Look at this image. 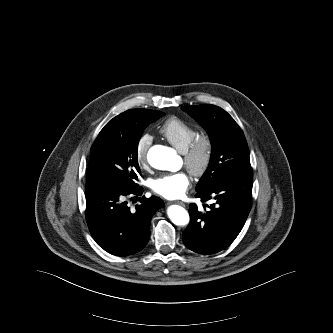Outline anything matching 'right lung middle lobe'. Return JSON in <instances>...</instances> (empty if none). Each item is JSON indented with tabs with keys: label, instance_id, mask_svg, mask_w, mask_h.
Instances as JSON below:
<instances>
[{
	"label": "right lung middle lobe",
	"instance_id": "1",
	"mask_svg": "<svg viewBox=\"0 0 333 333\" xmlns=\"http://www.w3.org/2000/svg\"><path fill=\"white\" fill-rule=\"evenodd\" d=\"M101 130L92 148L87 184L131 187L141 174L137 147L143 130L164 115L148 109H131Z\"/></svg>",
	"mask_w": 333,
	"mask_h": 333
}]
</instances>
